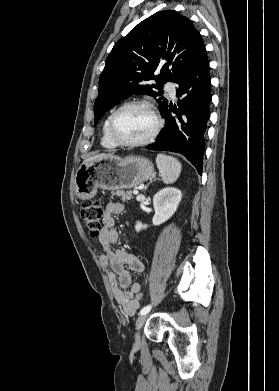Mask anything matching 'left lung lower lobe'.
Listing matches in <instances>:
<instances>
[{"instance_id": "1", "label": "left lung lower lobe", "mask_w": 279, "mask_h": 391, "mask_svg": "<svg viewBox=\"0 0 279 391\" xmlns=\"http://www.w3.org/2000/svg\"><path fill=\"white\" fill-rule=\"evenodd\" d=\"M176 94L181 97L178 107L168 104L162 113L165 126L155 143L146 148L164 150L184 155L197 169L202 171L205 147V132L210 117L211 102L209 61L205 47L187 72L176 82ZM176 116H172L171 111Z\"/></svg>"}]
</instances>
